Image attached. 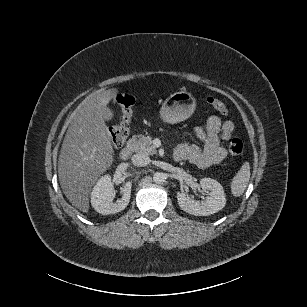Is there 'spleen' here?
I'll return each instance as SVG.
<instances>
[{"mask_svg": "<svg viewBox=\"0 0 307 307\" xmlns=\"http://www.w3.org/2000/svg\"><path fill=\"white\" fill-rule=\"evenodd\" d=\"M250 174V165L248 162H245L231 182V192L235 197H239L244 193L250 179Z\"/></svg>", "mask_w": 307, "mask_h": 307, "instance_id": "3e777b00", "label": "spleen"}]
</instances>
